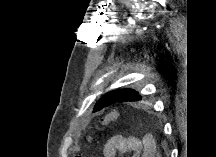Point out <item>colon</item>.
<instances>
[{"instance_id": "obj_1", "label": "colon", "mask_w": 216, "mask_h": 157, "mask_svg": "<svg viewBox=\"0 0 216 157\" xmlns=\"http://www.w3.org/2000/svg\"><path fill=\"white\" fill-rule=\"evenodd\" d=\"M119 112L114 110L111 111L109 114H107L105 117L100 119L95 125V133L89 137V142L94 143L98 141L99 132L102 131L104 127H106L108 124L116 121L119 118Z\"/></svg>"}]
</instances>
